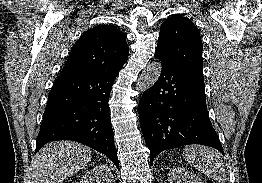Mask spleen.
<instances>
[{"label": "spleen", "instance_id": "obj_1", "mask_svg": "<svg viewBox=\"0 0 262 183\" xmlns=\"http://www.w3.org/2000/svg\"><path fill=\"white\" fill-rule=\"evenodd\" d=\"M185 161L219 183L226 180L225 168L216 151L204 146H187L183 150Z\"/></svg>", "mask_w": 262, "mask_h": 183}]
</instances>
